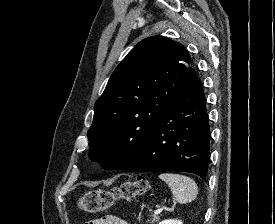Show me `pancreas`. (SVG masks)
Wrapping results in <instances>:
<instances>
[{
    "label": "pancreas",
    "instance_id": "pancreas-1",
    "mask_svg": "<svg viewBox=\"0 0 275 224\" xmlns=\"http://www.w3.org/2000/svg\"><path fill=\"white\" fill-rule=\"evenodd\" d=\"M159 220H160V216L154 215V216H152V218L150 220H148V222H150L151 224H154L155 222H158Z\"/></svg>",
    "mask_w": 275,
    "mask_h": 224
}]
</instances>
